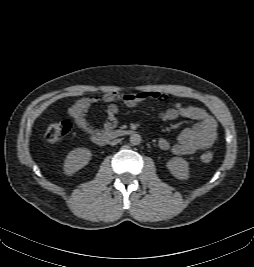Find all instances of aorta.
Returning <instances> with one entry per match:
<instances>
[{"label":"aorta","instance_id":"obj_1","mask_svg":"<svg viewBox=\"0 0 254 267\" xmlns=\"http://www.w3.org/2000/svg\"><path fill=\"white\" fill-rule=\"evenodd\" d=\"M141 136L137 133H133L130 136V143L132 145H139L141 143Z\"/></svg>","mask_w":254,"mask_h":267}]
</instances>
